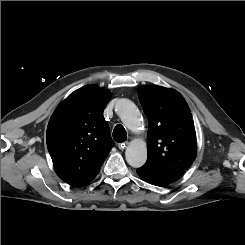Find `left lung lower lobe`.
Segmentation results:
<instances>
[{"instance_id":"1","label":"left lung lower lobe","mask_w":245,"mask_h":245,"mask_svg":"<svg viewBox=\"0 0 245 245\" xmlns=\"http://www.w3.org/2000/svg\"><path fill=\"white\" fill-rule=\"evenodd\" d=\"M137 174L143 181L160 187L168 186L178 180L165 175L151 172L142 167L137 169Z\"/></svg>"}]
</instances>
